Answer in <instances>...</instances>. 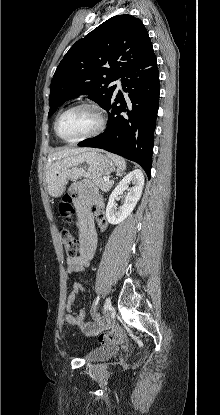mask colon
<instances>
[{"mask_svg": "<svg viewBox=\"0 0 220 415\" xmlns=\"http://www.w3.org/2000/svg\"><path fill=\"white\" fill-rule=\"evenodd\" d=\"M59 213L63 219L70 222L72 214H73V207L71 205V198L69 194H66L59 204L58 207ZM96 213L98 216H103L104 212L101 209H97ZM60 239L62 246L66 252L67 257L70 260H74L79 255V243L72 235V233L67 228H61L59 231ZM101 339H115L113 334L111 333H104L100 336Z\"/></svg>", "mask_w": 220, "mask_h": 415, "instance_id": "colon-1", "label": "colon"}]
</instances>
